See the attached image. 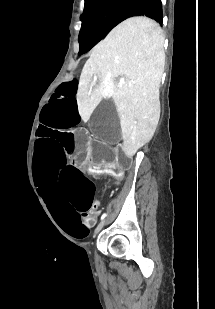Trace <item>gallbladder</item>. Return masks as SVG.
I'll use <instances>...</instances> for the list:
<instances>
[{
    "label": "gallbladder",
    "instance_id": "obj_1",
    "mask_svg": "<svg viewBox=\"0 0 215 309\" xmlns=\"http://www.w3.org/2000/svg\"><path fill=\"white\" fill-rule=\"evenodd\" d=\"M116 106L113 100L103 98L101 103L96 104V109L91 114L90 132H95V136H100L104 144H119L118 136L121 134L119 117L116 115Z\"/></svg>",
    "mask_w": 215,
    "mask_h": 309
}]
</instances>
